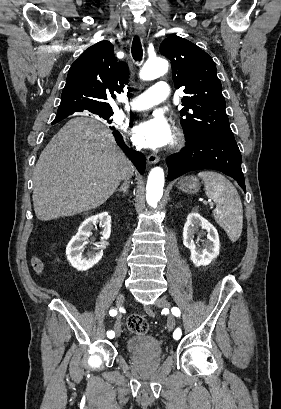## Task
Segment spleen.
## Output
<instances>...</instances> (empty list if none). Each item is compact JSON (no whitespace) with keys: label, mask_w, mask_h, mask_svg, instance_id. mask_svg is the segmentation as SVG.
<instances>
[{"label":"spleen","mask_w":281,"mask_h":409,"mask_svg":"<svg viewBox=\"0 0 281 409\" xmlns=\"http://www.w3.org/2000/svg\"><path fill=\"white\" fill-rule=\"evenodd\" d=\"M198 176L204 180L207 196L215 202L213 217L216 223L224 229L230 241L236 243L243 229V209L235 186L223 174L213 170H202Z\"/></svg>","instance_id":"3e777b00"}]
</instances>
